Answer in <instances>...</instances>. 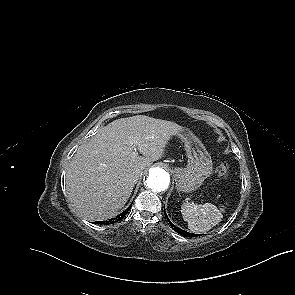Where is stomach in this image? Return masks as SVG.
Masks as SVG:
<instances>
[{
	"label": "stomach",
	"mask_w": 295,
	"mask_h": 295,
	"mask_svg": "<svg viewBox=\"0 0 295 295\" xmlns=\"http://www.w3.org/2000/svg\"><path fill=\"white\" fill-rule=\"evenodd\" d=\"M179 135L185 141L188 164L186 168H175L173 173L177 191L190 193L197 190L211 175L213 164L208 151L195 136L185 133Z\"/></svg>",
	"instance_id": "0dacf381"
}]
</instances>
